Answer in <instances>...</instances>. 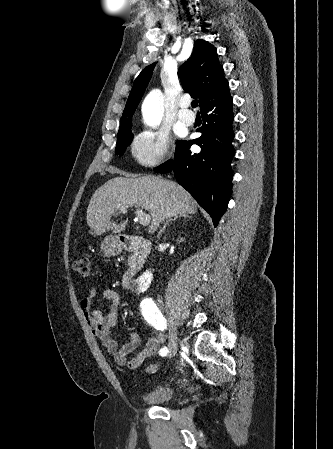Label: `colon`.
<instances>
[{"label":"colon","mask_w":333,"mask_h":449,"mask_svg":"<svg viewBox=\"0 0 333 449\" xmlns=\"http://www.w3.org/2000/svg\"><path fill=\"white\" fill-rule=\"evenodd\" d=\"M73 269L75 272H77L80 275L86 276L89 273L90 270V260L88 257H80L78 258L74 264H73ZM157 367L155 365L149 366L148 367V372L152 373L154 371H156Z\"/></svg>","instance_id":"colon-1"}]
</instances>
